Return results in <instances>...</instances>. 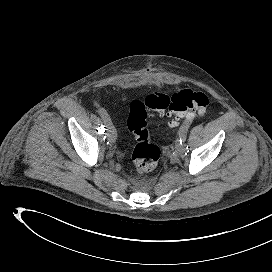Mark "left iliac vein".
I'll return each mask as SVG.
<instances>
[{
    "mask_svg": "<svg viewBox=\"0 0 272 272\" xmlns=\"http://www.w3.org/2000/svg\"><path fill=\"white\" fill-rule=\"evenodd\" d=\"M185 146L184 145H180L179 143L176 144L175 146V151L177 154H180L184 151Z\"/></svg>",
    "mask_w": 272,
    "mask_h": 272,
    "instance_id": "obj_1",
    "label": "left iliac vein"
}]
</instances>
